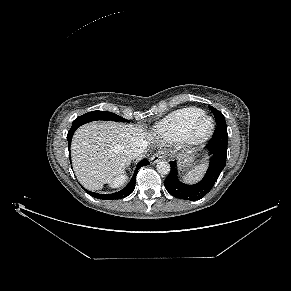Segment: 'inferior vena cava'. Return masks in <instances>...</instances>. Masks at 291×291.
Wrapping results in <instances>:
<instances>
[{
	"instance_id": "obj_1",
	"label": "inferior vena cava",
	"mask_w": 291,
	"mask_h": 291,
	"mask_svg": "<svg viewBox=\"0 0 291 291\" xmlns=\"http://www.w3.org/2000/svg\"><path fill=\"white\" fill-rule=\"evenodd\" d=\"M147 142L146 141H139L133 143L128 151L129 156L132 159H137L143 156L146 148H147Z\"/></svg>"
}]
</instances>
